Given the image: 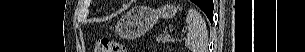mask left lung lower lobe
<instances>
[{
    "mask_svg": "<svg viewBox=\"0 0 305 52\" xmlns=\"http://www.w3.org/2000/svg\"><path fill=\"white\" fill-rule=\"evenodd\" d=\"M205 6H206L205 8H201V9L204 11V13L207 15L210 22L212 23L213 9H214L213 0H206Z\"/></svg>",
    "mask_w": 305,
    "mask_h": 52,
    "instance_id": "1",
    "label": "left lung lower lobe"
}]
</instances>
